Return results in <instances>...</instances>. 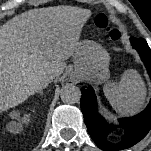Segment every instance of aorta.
I'll return each mask as SVG.
<instances>
[{"instance_id":"1","label":"aorta","mask_w":151,"mask_h":151,"mask_svg":"<svg viewBox=\"0 0 151 151\" xmlns=\"http://www.w3.org/2000/svg\"><path fill=\"white\" fill-rule=\"evenodd\" d=\"M81 92L74 85H66L61 89V100L66 104H74L79 102Z\"/></svg>"}]
</instances>
